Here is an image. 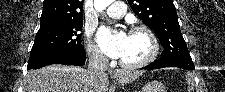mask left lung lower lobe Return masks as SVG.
Returning a JSON list of instances; mask_svg holds the SVG:
<instances>
[{
  "instance_id": "obj_1",
  "label": "left lung lower lobe",
  "mask_w": 225,
  "mask_h": 92,
  "mask_svg": "<svg viewBox=\"0 0 225 92\" xmlns=\"http://www.w3.org/2000/svg\"><path fill=\"white\" fill-rule=\"evenodd\" d=\"M165 67H179L186 70H193L194 64L192 59H170V60H162L158 59L151 64L143 67L142 69H159Z\"/></svg>"
}]
</instances>
